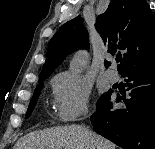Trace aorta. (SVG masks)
I'll list each match as a JSON object with an SVG mask.
<instances>
[{"mask_svg": "<svg viewBox=\"0 0 155 149\" xmlns=\"http://www.w3.org/2000/svg\"><path fill=\"white\" fill-rule=\"evenodd\" d=\"M87 55L85 52L77 53L70 62V72L72 74H80L83 72L86 65Z\"/></svg>", "mask_w": 155, "mask_h": 149, "instance_id": "aorta-1", "label": "aorta"}]
</instances>
